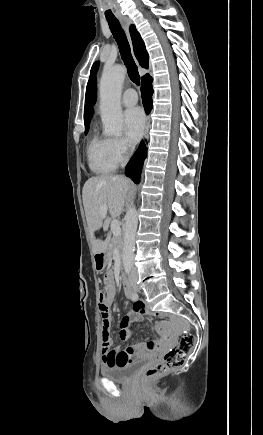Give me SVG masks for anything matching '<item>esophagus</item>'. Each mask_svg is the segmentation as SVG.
Masks as SVG:
<instances>
[{"instance_id": "1", "label": "esophagus", "mask_w": 263, "mask_h": 435, "mask_svg": "<svg viewBox=\"0 0 263 435\" xmlns=\"http://www.w3.org/2000/svg\"><path fill=\"white\" fill-rule=\"evenodd\" d=\"M120 21H121V24H122L123 28L125 29V31H126V33L128 35L129 41L131 43L130 34H129V26L131 24V21L129 19H127V18H122V19H120ZM149 127H150V119H149V116H147L146 117L145 132H144V142L148 138Z\"/></svg>"}]
</instances>
